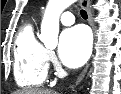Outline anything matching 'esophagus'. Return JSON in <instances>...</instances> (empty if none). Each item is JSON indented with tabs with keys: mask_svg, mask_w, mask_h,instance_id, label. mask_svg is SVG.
Here are the masks:
<instances>
[{
	"mask_svg": "<svg viewBox=\"0 0 121 94\" xmlns=\"http://www.w3.org/2000/svg\"><path fill=\"white\" fill-rule=\"evenodd\" d=\"M80 4L86 10V12L88 14V22H89L90 26L92 27L93 31L95 32V26H94V23H93V17H92V13H91V9H90L89 0H81ZM88 68H89V63L86 65V67L83 69V71L79 75V77L76 81V85H78L81 82V80L84 78Z\"/></svg>",
	"mask_w": 121,
	"mask_h": 94,
	"instance_id": "34e87169",
	"label": "esophagus"
}]
</instances>
